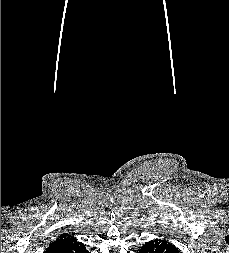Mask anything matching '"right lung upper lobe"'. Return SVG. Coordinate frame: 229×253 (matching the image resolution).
Segmentation results:
<instances>
[{"instance_id":"cb5924a9","label":"right lung upper lobe","mask_w":229,"mask_h":253,"mask_svg":"<svg viewBox=\"0 0 229 253\" xmlns=\"http://www.w3.org/2000/svg\"><path fill=\"white\" fill-rule=\"evenodd\" d=\"M74 240H76L75 238H73V236H70L68 233L65 234H61L48 248V249H52V248H56L62 245H66L68 243L73 242Z\"/></svg>"}]
</instances>
